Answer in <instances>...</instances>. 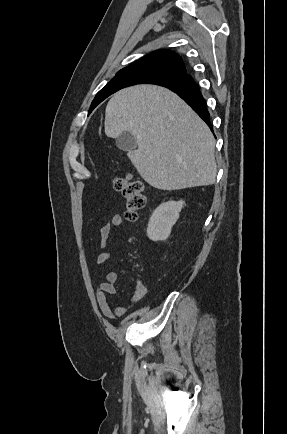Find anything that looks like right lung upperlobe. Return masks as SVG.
I'll list each match as a JSON object with an SVG mask.
<instances>
[{
  "label": "right lung upper lobe",
  "mask_w": 287,
  "mask_h": 434,
  "mask_svg": "<svg viewBox=\"0 0 287 434\" xmlns=\"http://www.w3.org/2000/svg\"><path fill=\"white\" fill-rule=\"evenodd\" d=\"M139 68L160 69L177 75L179 78L173 81H162L157 85L167 86L177 81L182 80L187 76V70L179 55L170 50H157L140 59L136 60L131 65L123 68L119 72H126Z\"/></svg>",
  "instance_id": "1"
}]
</instances>
